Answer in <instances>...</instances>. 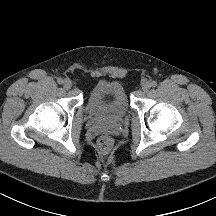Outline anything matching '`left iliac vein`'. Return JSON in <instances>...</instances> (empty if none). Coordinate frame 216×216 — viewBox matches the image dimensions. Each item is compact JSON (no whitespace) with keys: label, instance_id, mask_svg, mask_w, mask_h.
<instances>
[{"label":"left iliac vein","instance_id":"4c4485c4","mask_svg":"<svg viewBox=\"0 0 216 216\" xmlns=\"http://www.w3.org/2000/svg\"><path fill=\"white\" fill-rule=\"evenodd\" d=\"M150 87H151L150 83H145V84H143V86H142V90H143L144 92H148L149 89H150Z\"/></svg>","mask_w":216,"mask_h":216}]
</instances>
